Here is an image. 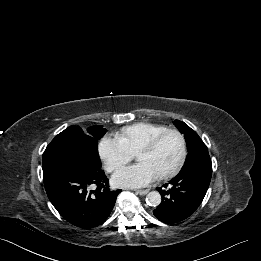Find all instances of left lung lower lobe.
Segmentation results:
<instances>
[{"label":"left lung lower lobe","mask_w":261,"mask_h":261,"mask_svg":"<svg viewBox=\"0 0 261 261\" xmlns=\"http://www.w3.org/2000/svg\"><path fill=\"white\" fill-rule=\"evenodd\" d=\"M212 164L208 152L193 160L182 169L169 184L157 188L162 197L161 204L153 211L160 221L172 224L188 218L201 204L210 184Z\"/></svg>","instance_id":"0a47b994"}]
</instances>
